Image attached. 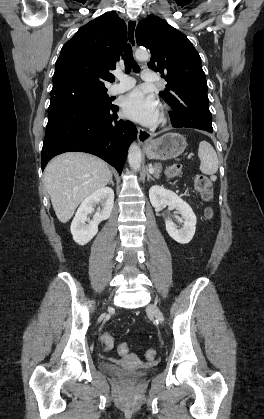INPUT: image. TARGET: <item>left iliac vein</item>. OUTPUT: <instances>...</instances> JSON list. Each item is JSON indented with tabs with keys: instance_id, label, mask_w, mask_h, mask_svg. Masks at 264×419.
<instances>
[{
	"instance_id": "4c4485c4",
	"label": "left iliac vein",
	"mask_w": 264,
	"mask_h": 419,
	"mask_svg": "<svg viewBox=\"0 0 264 419\" xmlns=\"http://www.w3.org/2000/svg\"><path fill=\"white\" fill-rule=\"evenodd\" d=\"M147 311L150 312L161 323L164 322V317H163L161 311L158 309V307L156 305H149L147 307Z\"/></svg>"
}]
</instances>
